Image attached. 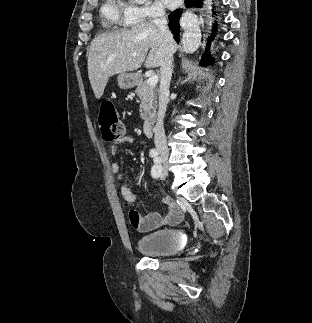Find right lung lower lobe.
I'll list each match as a JSON object with an SVG mask.
<instances>
[{
	"label": "right lung lower lobe",
	"mask_w": 312,
	"mask_h": 323,
	"mask_svg": "<svg viewBox=\"0 0 312 323\" xmlns=\"http://www.w3.org/2000/svg\"><path fill=\"white\" fill-rule=\"evenodd\" d=\"M185 5L187 7H196V8H201L203 6V0H186L185 1ZM212 14L217 16L216 12L214 11V6H212ZM181 17V11H174L172 13H170L169 15V28L172 31V33L174 34V38L176 41H179V33H180V24H179V19ZM215 19L217 20L218 18L215 17ZM214 21L213 25H212V29H211V33L210 36L208 37V41H207V48L205 53L202 55V60L201 62H204L205 64H210L213 62V59L209 57V47L211 45V41L214 40L215 38V34L218 31V24L217 21Z\"/></svg>",
	"instance_id": "1"
}]
</instances>
